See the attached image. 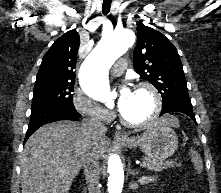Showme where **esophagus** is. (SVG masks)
Returning <instances> with one entry per match:
<instances>
[{
    "mask_svg": "<svg viewBox=\"0 0 221 193\" xmlns=\"http://www.w3.org/2000/svg\"><path fill=\"white\" fill-rule=\"evenodd\" d=\"M114 137L115 139H119V140L127 139V135L123 131H116Z\"/></svg>",
    "mask_w": 221,
    "mask_h": 193,
    "instance_id": "34e87169",
    "label": "esophagus"
}]
</instances>
